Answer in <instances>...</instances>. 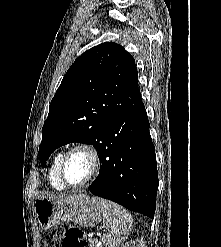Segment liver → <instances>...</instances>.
<instances>
[{
	"label": "liver",
	"instance_id": "1",
	"mask_svg": "<svg viewBox=\"0 0 221 247\" xmlns=\"http://www.w3.org/2000/svg\"><path fill=\"white\" fill-rule=\"evenodd\" d=\"M50 197H64L63 195H59V196H50Z\"/></svg>",
	"mask_w": 221,
	"mask_h": 247
}]
</instances>
